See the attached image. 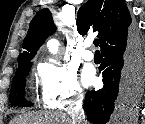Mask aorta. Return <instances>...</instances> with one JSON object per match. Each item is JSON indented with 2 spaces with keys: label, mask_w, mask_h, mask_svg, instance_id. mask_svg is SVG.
Listing matches in <instances>:
<instances>
[{
  "label": "aorta",
  "mask_w": 145,
  "mask_h": 124,
  "mask_svg": "<svg viewBox=\"0 0 145 124\" xmlns=\"http://www.w3.org/2000/svg\"><path fill=\"white\" fill-rule=\"evenodd\" d=\"M59 42L56 39H50L47 42V47L52 54H56L58 51Z\"/></svg>",
  "instance_id": "1"
}]
</instances>
